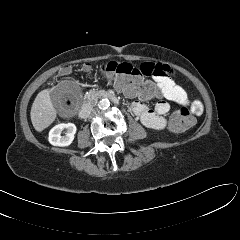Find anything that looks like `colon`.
Segmentation results:
<instances>
[{
    "label": "colon",
    "instance_id": "obj_1",
    "mask_svg": "<svg viewBox=\"0 0 240 240\" xmlns=\"http://www.w3.org/2000/svg\"><path fill=\"white\" fill-rule=\"evenodd\" d=\"M89 69V67H86ZM104 75L111 78L116 87L129 96L142 99H152L160 95V88L156 83L145 78L139 66L130 63L110 61L100 67ZM70 72V67H64L62 74ZM194 123L188 109L182 107L175 110L170 117V128L175 132H182Z\"/></svg>",
    "mask_w": 240,
    "mask_h": 240
}]
</instances>
